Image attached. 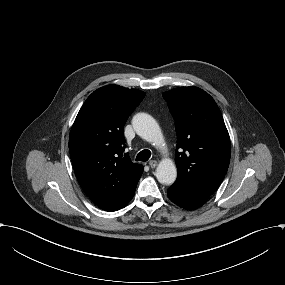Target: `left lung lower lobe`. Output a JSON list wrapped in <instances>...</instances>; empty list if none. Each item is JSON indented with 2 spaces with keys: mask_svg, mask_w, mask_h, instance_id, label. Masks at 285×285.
Returning a JSON list of instances; mask_svg holds the SVG:
<instances>
[{
  "mask_svg": "<svg viewBox=\"0 0 285 285\" xmlns=\"http://www.w3.org/2000/svg\"><path fill=\"white\" fill-rule=\"evenodd\" d=\"M167 195L172 202L187 210L196 209L208 200L207 197L198 195L176 182L168 188Z\"/></svg>",
  "mask_w": 285,
  "mask_h": 285,
  "instance_id": "0a47b994",
  "label": "left lung lower lobe"
}]
</instances>
